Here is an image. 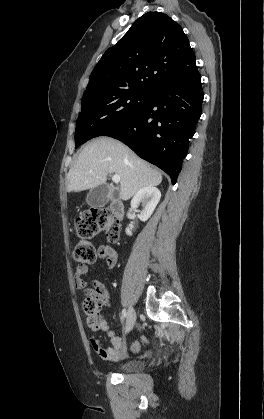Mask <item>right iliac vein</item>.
I'll return each instance as SVG.
<instances>
[{"mask_svg": "<svg viewBox=\"0 0 264 419\" xmlns=\"http://www.w3.org/2000/svg\"><path fill=\"white\" fill-rule=\"evenodd\" d=\"M136 321V313L135 310L130 307L127 314V320H126V331L129 332L134 327Z\"/></svg>", "mask_w": 264, "mask_h": 419, "instance_id": "63e3f726", "label": "right iliac vein"}]
</instances>
